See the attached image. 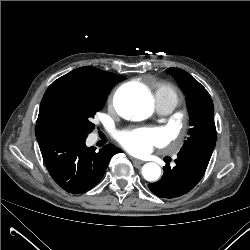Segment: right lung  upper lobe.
<instances>
[{
	"label": "right lung upper lobe",
	"instance_id": "right-lung-upper-lobe-1",
	"mask_svg": "<svg viewBox=\"0 0 250 250\" xmlns=\"http://www.w3.org/2000/svg\"><path fill=\"white\" fill-rule=\"evenodd\" d=\"M124 79L125 77L87 66L75 69L55 80L49 86L41 101L35 129L37 139L59 133L54 116V102L61 90L70 86L99 88Z\"/></svg>",
	"mask_w": 250,
	"mask_h": 250
}]
</instances>
